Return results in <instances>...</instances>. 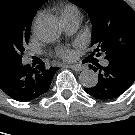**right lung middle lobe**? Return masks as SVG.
Listing matches in <instances>:
<instances>
[{
    "label": "right lung middle lobe",
    "instance_id": "right-lung-middle-lobe-1",
    "mask_svg": "<svg viewBox=\"0 0 135 135\" xmlns=\"http://www.w3.org/2000/svg\"><path fill=\"white\" fill-rule=\"evenodd\" d=\"M32 14L15 0H0V57L22 61L28 44Z\"/></svg>",
    "mask_w": 135,
    "mask_h": 135
}]
</instances>
